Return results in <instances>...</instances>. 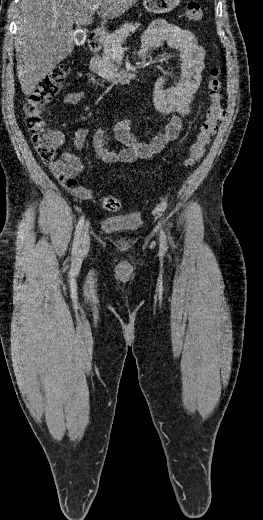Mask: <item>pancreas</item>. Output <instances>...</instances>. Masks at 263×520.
Returning <instances> with one entry per match:
<instances>
[{"mask_svg":"<svg viewBox=\"0 0 263 520\" xmlns=\"http://www.w3.org/2000/svg\"><path fill=\"white\" fill-rule=\"evenodd\" d=\"M140 26V23H125L120 26L119 29L115 30L111 34H107L102 38L103 54L97 55L91 60V67L100 75L103 79L110 82H120L121 73L118 72V68L115 65V57L113 48L120 46L126 38Z\"/></svg>","mask_w":263,"mask_h":520,"instance_id":"1","label":"pancreas"}]
</instances>
